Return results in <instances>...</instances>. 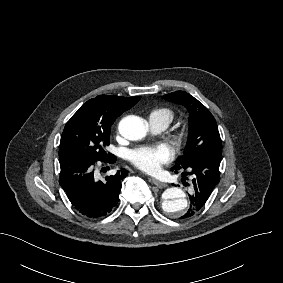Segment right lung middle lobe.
I'll return each instance as SVG.
<instances>
[{"mask_svg":"<svg viewBox=\"0 0 283 283\" xmlns=\"http://www.w3.org/2000/svg\"><path fill=\"white\" fill-rule=\"evenodd\" d=\"M140 98L100 95L87 101L64 128L59 158L84 154L94 160H105L110 155L104 148L109 145L111 125Z\"/></svg>","mask_w":283,"mask_h":283,"instance_id":"dd1d6c3e","label":"right lung middle lobe"}]
</instances>
